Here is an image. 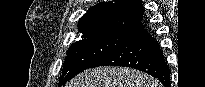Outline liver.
Instances as JSON below:
<instances>
[{
    "instance_id": "1",
    "label": "liver",
    "mask_w": 205,
    "mask_h": 87,
    "mask_svg": "<svg viewBox=\"0 0 205 87\" xmlns=\"http://www.w3.org/2000/svg\"><path fill=\"white\" fill-rule=\"evenodd\" d=\"M65 87H161L158 80L126 67H97L76 76Z\"/></svg>"
}]
</instances>
